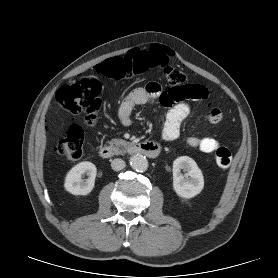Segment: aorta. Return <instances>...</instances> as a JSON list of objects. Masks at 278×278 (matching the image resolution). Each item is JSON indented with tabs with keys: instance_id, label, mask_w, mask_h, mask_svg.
<instances>
[{
	"instance_id": "762f6f07",
	"label": "aorta",
	"mask_w": 278,
	"mask_h": 278,
	"mask_svg": "<svg viewBox=\"0 0 278 278\" xmlns=\"http://www.w3.org/2000/svg\"><path fill=\"white\" fill-rule=\"evenodd\" d=\"M130 164L136 172L143 173L148 169V161L146 157L141 154L131 156Z\"/></svg>"
}]
</instances>
